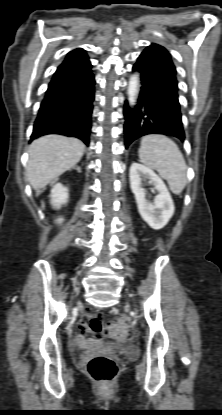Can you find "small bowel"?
Instances as JSON below:
<instances>
[{
    "label": "small bowel",
    "instance_id": "1",
    "mask_svg": "<svg viewBox=\"0 0 222 415\" xmlns=\"http://www.w3.org/2000/svg\"><path fill=\"white\" fill-rule=\"evenodd\" d=\"M80 339L83 340L84 338L83 337H80Z\"/></svg>",
    "mask_w": 222,
    "mask_h": 415
}]
</instances>
